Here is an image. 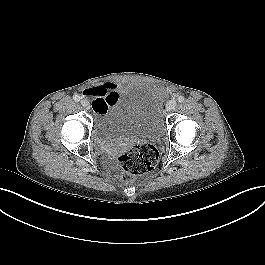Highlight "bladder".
Here are the masks:
<instances>
[{
    "instance_id": "bladder-1",
    "label": "bladder",
    "mask_w": 265,
    "mask_h": 265,
    "mask_svg": "<svg viewBox=\"0 0 265 265\" xmlns=\"http://www.w3.org/2000/svg\"><path fill=\"white\" fill-rule=\"evenodd\" d=\"M156 87L147 82L127 85L101 116L96 134L101 139L157 138L164 126V114Z\"/></svg>"
}]
</instances>
